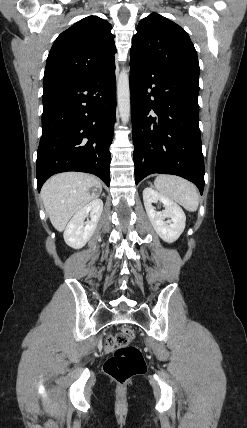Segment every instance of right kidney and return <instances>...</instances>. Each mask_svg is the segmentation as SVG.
<instances>
[{
  "label": "right kidney",
  "instance_id": "obj_1",
  "mask_svg": "<svg viewBox=\"0 0 247 428\" xmlns=\"http://www.w3.org/2000/svg\"><path fill=\"white\" fill-rule=\"evenodd\" d=\"M103 210L101 199H94L72 217L64 231V241L74 249L86 245L93 235ZM90 215V221L85 219Z\"/></svg>",
  "mask_w": 247,
  "mask_h": 428
}]
</instances>
